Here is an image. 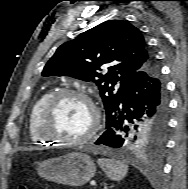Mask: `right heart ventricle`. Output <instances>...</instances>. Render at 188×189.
Instances as JSON below:
<instances>
[{
  "label": "right heart ventricle",
  "mask_w": 188,
  "mask_h": 189,
  "mask_svg": "<svg viewBox=\"0 0 188 189\" xmlns=\"http://www.w3.org/2000/svg\"><path fill=\"white\" fill-rule=\"evenodd\" d=\"M54 90H48L43 93L31 106L28 115V134L31 142L36 145H44L50 143V141L42 138L38 132L37 124L39 120L40 113L47 102V100L52 96Z\"/></svg>",
  "instance_id": "right-heart-ventricle-1"
}]
</instances>
